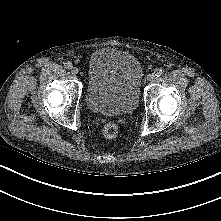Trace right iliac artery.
<instances>
[{
  "instance_id": "right-iliac-artery-1",
  "label": "right iliac artery",
  "mask_w": 221,
  "mask_h": 221,
  "mask_svg": "<svg viewBox=\"0 0 221 221\" xmlns=\"http://www.w3.org/2000/svg\"><path fill=\"white\" fill-rule=\"evenodd\" d=\"M72 66H73L72 63L69 62V61L64 63V67H65L66 69H68V70L71 69Z\"/></svg>"
}]
</instances>
